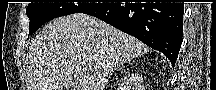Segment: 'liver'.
Segmentation results:
<instances>
[{"instance_id":"liver-1","label":"liver","mask_w":216,"mask_h":90,"mask_svg":"<svg viewBox=\"0 0 216 90\" xmlns=\"http://www.w3.org/2000/svg\"><path fill=\"white\" fill-rule=\"evenodd\" d=\"M147 52L137 38L93 16L56 18L29 46L27 90H105L119 66Z\"/></svg>"}]
</instances>
